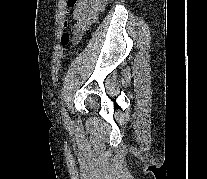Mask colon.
<instances>
[{"mask_svg": "<svg viewBox=\"0 0 207 179\" xmlns=\"http://www.w3.org/2000/svg\"><path fill=\"white\" fill-rule=\"evenodd\" d=\"M78 2H79V0H66V5L68 8V11H69V9L73 8ZM65 25H67V23ZM60 41L63 46H67L71 41L70 34L67 32L63 33L60 38Z\"/></svg>", "mask_w": 207, "mask_h": 179, "instance_id": "obj_1", "label": "colon"}]
</instances>
